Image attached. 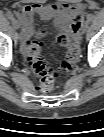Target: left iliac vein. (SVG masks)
<instances>
[{
	"label": "left iliac vein",
	"mask_w": 104,
	"mask_h": 137,
	"mask_svg": "<svg viewBox=\"0 0 104 137\" xmlns=\"http://www.w3.org/2000/svg\"><path fill=\"white\" fill-rule=\"evenodd\" d=\"M87 29H88V22L85 21V22L83 23L82 27H81V34L86 33Z\"/></svg>",
	"instance_id": "4c4485c4"
}]
</instances>
